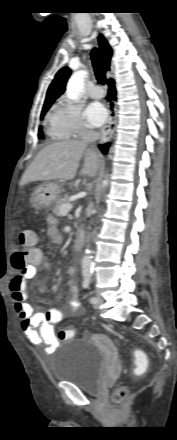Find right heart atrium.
Listing matches in <instances>:
<instances>
[{
	"label": "right heart atrium",
	"instance_id": "d8ad5b80",
	"mask_svg": "<svg viewBox=\"0 0 177 440\" xmlns=\"http://www.w3.org/2000/svg\"><path fill=\"white\" fill-rule=\"evenodd\" d=\"M53 114L57 127L65 138L79 136L89 131L81 105L65 96L58 99Z\"/></svg>",
	"mask_w": 177,
	"mask_h": 440
}]
</instances>
